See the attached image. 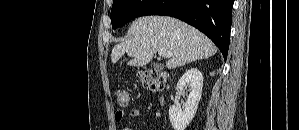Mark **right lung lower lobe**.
<instances>
[{"label": "right lung lower lobe", "instance_id": "right-lung-lower-lobe-1", "mask_svg": "<svg viewBox=\"0 0 299 130\" xmlns=\"http://www.w3.org/2000/svg\"><path fill=\"white\" fill-rule=\"evenodd\" d=\"M233 0H152L138 16L166 15L199 29L228 54Z\"/></svg>", "mask_w": 299, "mask_h": 130}]
</instances>
